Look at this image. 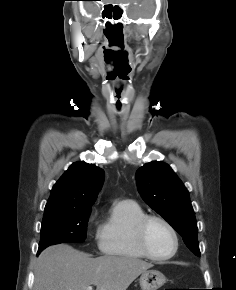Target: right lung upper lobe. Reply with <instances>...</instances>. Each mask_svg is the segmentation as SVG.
<instances>
[{
	"label": "right lung upper lobe",
	"mask_w": 236,
	"mask_h": 290,
	"mask_svg": "<svg viewBox=\"0 0 236 290\" xmlns=\"http://www.w3.org/2000/svg\"><path fill=\"white\" fill-rule=\"evenodd\" d=\"M103 180V169L85 162L73 163L53 186L44 211L91 210Z\"/></svg>",
	"instance_id": "obj_1"
}]
</instances>
